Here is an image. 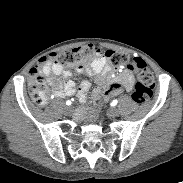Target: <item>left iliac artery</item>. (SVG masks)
Listing matches in <instances>:
<instances>
[{
    "label": "left iliac artery",
    "mask_w": 183,
    "mask_h": 183,
    "mask_svg": "<svg viewBox=\"0 0 183 183\" xmlns=\"http://www.w3.org/2000/svg\"><path fill=\"white\" fill-rule=\"evenodd\" d=\"M117 103H118V100L117 99H115V100L112 101V105L113 106L117 105Z\"/></svg>",
    "instance_id": "obj_1"
}]
</instances>
